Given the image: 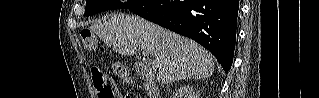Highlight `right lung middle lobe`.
<instances>
[{"mask_svg": "<svg viewBox=\"0 0 319 98\" xmlns=\"http://www.w3.org/2000/svg\"><path fill=\"white\" fill-rule=\"evenodd\" d=\"M150 0H128L122 3L118 0H87L85 15L90 16L106 10L125 8L132 10L148 4Z\"/></svg>", "mask_w": 319, "mask_h": 98, "instance_id": "1", "label": "right lung middle lobe"}]
</instances>
